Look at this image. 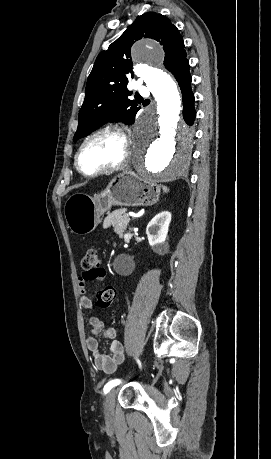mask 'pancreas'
<instances>
[{"label": "pancreas", "instance_id": "1", "mask_svg": "<svg viewBox=\"0 0 271 459\" xmlns=\"http://www.w3.org/2000/svg\"><path fill=\"white\" fill-rule=\"evenodd\" d=\"M126 210H115L112 214H109L108 218L104 221V229L108 230L113 226L115 233H118L119 237H123V233L130 220L129 217H125Z\"/></svg>", "mask_w": 271, "mask_h": 459}]
</instances>
